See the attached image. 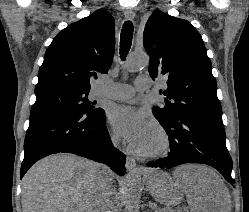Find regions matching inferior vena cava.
Listing matches in <instances>:
<instances>
[{"mask_svg": "<svg viewBox=\"0 0 249 212\" xmlns=\"http://www.w3.org/2000/svg\"><path fill=\"white\" fill-rule=\"evenodd\" d=\"M114 146L118 142V138H112ZM99 172L96 178V188L94 194V210L93 212H114L113 208V192H112V178H110V170L107 166L98 164ZM132 180H135L134 176ZM140 180V178H138Z\"/></svg>", "mask_w": 249, "mask_h": 212, "instance_id": "1", "label": "inferior vena cava"}]
</instances>
